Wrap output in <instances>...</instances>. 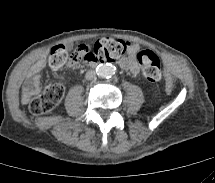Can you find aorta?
Segmentation results:
<instances>
[{
    "label": "aorta",
    "mask_w": 215,
    "mask_h": 183,
    "mask_svg": "<svg viewBox=\"0 0 215 183\" xmlns=\"http://www.w3.org/2000/svg\"><path fill=\"white\" fill-rule=\"evenodd\" d=\"M115 67L112 64H100L96 68L97 74L102 78H109L115 74Z\"/></svg>",
    "instance_id": "1"
}]
</instances>
